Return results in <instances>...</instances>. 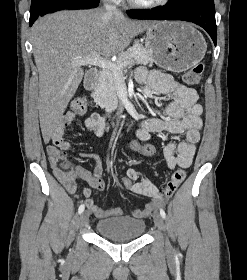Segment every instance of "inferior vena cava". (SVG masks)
<instances>
[{
  "label": "inferior vena cava",
  "instance_id": "inferior-vena-cava-1",
  "mask_svg": "<svg viewBox=\"0 0 247 280\" xmlns=\"http://www.w3.org/2000/svg\"><path fill=\"white\" fill-rule=\"evenodd\" d=\"M105 10L109 13V14H116V15H122V13L116 9V6L111 5L109 3H106L104 5Z\"/></svg>",
  "mask_w": 247,
  "mask_h": 280
}]
</instances>
